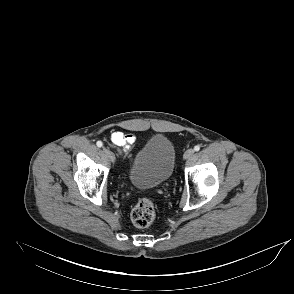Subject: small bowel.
Returning a JSON list of instances; mask_svg holds the SVG:
<instances>
[{
    "label": "small bowel",
    "instance_id": "small-bowel-1",
    "mask_svg": "<svg viewBox=\"0 0 294 294\" xmlns=\"http://www.w3.org/2000/svg\"><path fill=\"white\" fill-rule=\"evenodd\" d=\"M136 142L137 138L132 133L115 131L111 134V144L116 147L120 153L128 154Z\"/></svg>",
    "mask_w": 294,
    "mask_h": 294
}]
</instances>
